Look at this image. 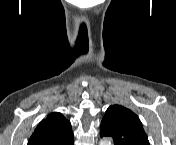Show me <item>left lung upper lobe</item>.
<instances>
[{
    "label": "left lung upper lobe",
    "instance_id": "left-lung-upper-lobe-1",
    "mask_svg": "<svg viewBox=\"0 0 176 145\" xmlns=\"http://www.w3.org/2000/svg\"><path fill=\"white\" fill-rule=\"evenodd\" d=\"M100 136H109L115 145H149L138 116L121 106H110L101 122Z\"/></svg>",
    "mask_w": 176,
    "mask_h": 145
}]
</instances>
